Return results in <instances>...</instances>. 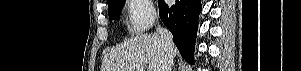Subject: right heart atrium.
<instances>
[{
    "instance_id": "obj_1",
    "label": "right heart atrium",
    "mask_w": 301,
    "mask_h": 71,
    "mask_svg": "<svg viewBox=\"0 0 301 71\" xmlns=\"http://www.w3.org/2000/svg\"><path fill=\"white\" fill-rule=\"evenodd\" d=\"M126 14L128 27L134 33L145 32L155 20V10L150 0H128Z\"/></svg>"
}]
</instances>
